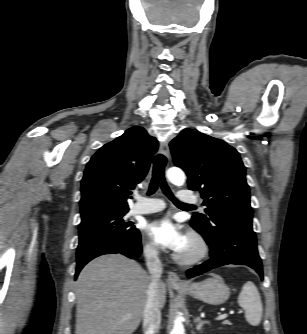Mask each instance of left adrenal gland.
<instances>
[{
	"label": "left adrenal gland",
	"mask_w": 307,
	"mask_h": 334,
	"mask_svg": "<svg viewBox=\"0 0 307 334\" xmlns=\"http://www.w3.org/2000/svg\"><path fill=\"white\" fill-rule=\"evenodd\" d=\"M194 322L196 323V330L200 331L205 324H209L208 321L202 320L200 317H197Z\"/></svg>",
	"instance_id": "1"
}]
</instances>
